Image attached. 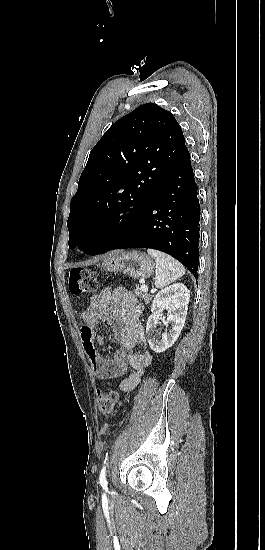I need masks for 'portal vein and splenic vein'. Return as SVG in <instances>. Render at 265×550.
Listing matches in <instances>:
<instances>
[{"label": "portal vein and splenic vein", "instance_id": "obj_1", "mask_svg": "<svg viewBox=\"0 0 265 550\" xmlns=\"http://www.w3.org/2000/svg\"><path fill=\"white\" fill-rule=\"evenodd\" d=\"M141 290H142L143 292H147V291H148V286L145 285V284H142V285H141Z\"/></svg>", "mask_w": 265, "mask_h": 550}]
</instances>
